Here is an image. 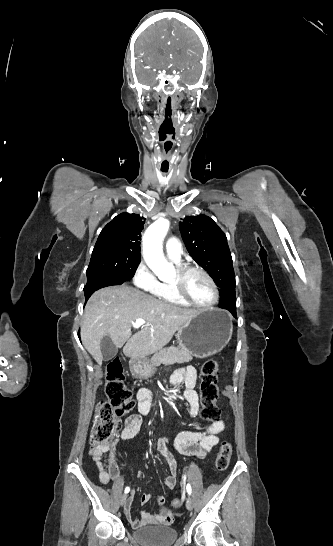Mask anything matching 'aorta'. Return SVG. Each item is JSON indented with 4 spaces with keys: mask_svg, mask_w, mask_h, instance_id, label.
<instances>
[{
    "mask_svg": "<svg viewBox=\"0 0 333 546\" xmlns=\"http://www.w3.org/2000/svg\"><path fill=\"white\" fill-rule=\"evenodd\" d=\"M169 229V221L158 219L148 227L143 237V256L146 264L159 279L175 275V268L163 255L162 241Z\"/></svg>",
    "mask_w": 333,
    "mask_h": 546,
    "instance_id": "1",
    "label": "aorta"
}]
</instances>
